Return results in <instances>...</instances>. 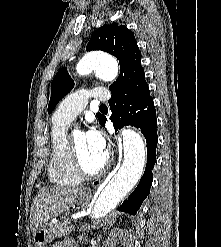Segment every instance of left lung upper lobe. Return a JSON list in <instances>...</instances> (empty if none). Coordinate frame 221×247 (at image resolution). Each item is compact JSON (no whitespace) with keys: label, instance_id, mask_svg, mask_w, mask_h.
Wrapping results in <instances>:
<instances>
[{"label":"left lung upper lobe","instance_id":"left-lung-upper-lobe-1","mask_svg":"<svg viewBox=\"0 0 221 247\" xmlns=\"http://www.w3.org/2000/svg\"><path fill=\"white\" fill-rule=\"evenodd\" d=\"M87 51L102 50L114 55L120 64V75L109 89L112 95L126 98L147 91L144 70L141 66V53L133 33L126 26L112 23L99 28L90 39ZM74 87L67 68H61L51 83V98L48 113ZM100 122L104 116L97 114Z\"/></svg>","mask_w":221,"mask_h":247}]
</instances>
